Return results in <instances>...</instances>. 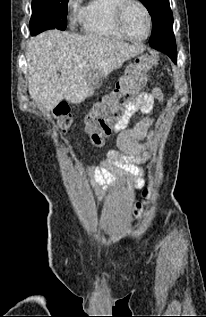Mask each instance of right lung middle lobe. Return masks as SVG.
<instances>
[{
  "instance_id": "dd1d6c3e",
  "label": "right lung middle lobe",
  "mask_w": 206,
  "mask_h": 317,
  "mask_svg": "<svg viewBox=\"0 0 206 317\" xmlns=\"http://www.w3.org/2000/svg\"><path fill=\"white\" fill-rule=\"evenodd\" d=\"M68 0H32L31 35L48 29L65 30Z\"/></svg>"
}]
</instances>
